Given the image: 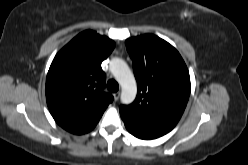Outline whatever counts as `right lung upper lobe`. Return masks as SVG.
I'll return each mask as SVG.
<instances>
[{
	"label": "right lung upper lobe",
	"mask_w": 248,
	"mask_h": 165,
	"mask_svg": "<svg viewBox=\"0 0 248 165\" xmlns=\"http://www.w3.org/2000/svg\"><path fill=\"white\" fill-rule=\"evenodd\" d=\"M114 47L108 37L87 30L55 56L46 78V100L65 130L78 135L91 131L113 101L103 91L106 75L101 63Z\"/></svg>",
	"instance_id": "cb5924a9"
}]
</instances>
